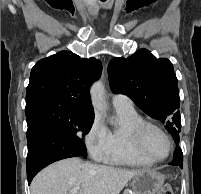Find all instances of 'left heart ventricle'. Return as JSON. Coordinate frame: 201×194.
Returning <instances> with one entry per match:
<instances>
[{"label": "left heart ventricle", "instance_id": "b2bd125f", "mask_svg": "<svg viewBox=\"0 0 201 194\" xmlns=\"http://www.w3.org/2000/svg\"><path fill=\"white\" fill-rule=\"evenodd\" d=\"M143 144L146 152L153 158H162L168 151L165 137L153 128H149L145 132Z\"/></svg>", "mask_w": 201, "mask_h": 194}]
</instances>
